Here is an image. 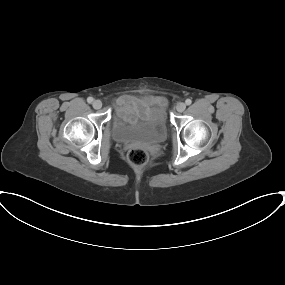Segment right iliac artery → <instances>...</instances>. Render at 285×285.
I'll list each match as a JSON object with an SVG mask.
<instances>
[{
  "instance_id": "right-iliac-artery-1",
  "label": "right iliac artery",
  "mask_w": 285,
  "mask_h": 285,
  "mask_svg": "<svg viewBox=\"0 0 285 285\" xmlns=\"http://www.w3.org/2000/svg\"><path fill=\"white\" fill-rule=\"evenodd\" d=\"M87 102H88V103H92V102H93V98H92V97H88V98H87Z\"/></svg>"
}]
</instances>
